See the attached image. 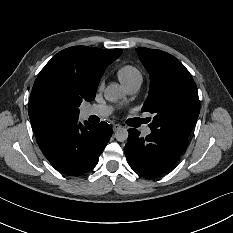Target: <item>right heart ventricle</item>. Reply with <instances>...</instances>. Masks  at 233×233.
<instances>
[{"mask_svg": "<svg viewBox=\"0 0 233 233\" xmlns=\"http://www.w3.org/2000/svg\"><path fill=\"white\" fill-rule=\"evenodd\" d=\"M117 77L124 87L133 85L140 86L143 80L141 70L132 63L121 65L117 70Z\"/></svg>", "mask_w": 233, "mask_h": 233, "instance_id": "right-heart-ventricle-1", "label": "right heart ventricle"}]
</instances>
